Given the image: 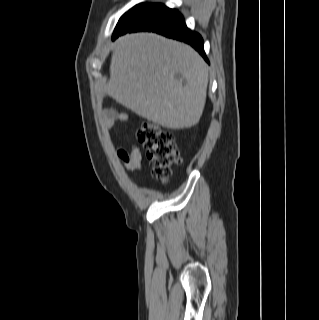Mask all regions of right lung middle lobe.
<instances>
[{"label": "right lung middle lobe", "mask_w": 319, "mask_h": 320, "mask_svg": "<svg viewBox=\"0 0 319 320\" xmlns=\"http://www.w3.org/2000/svg\"><path fill=\"white\" fill-rule=\"evenodd\" d=\"M167 9L169 8L162 4H138L120 18L115 30L132 28L147 18Z\"/></svg>", "instance_id": "obj_1"}]
</instances>
